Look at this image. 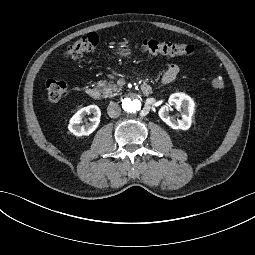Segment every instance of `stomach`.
I'll list each match as a JSON object with an SVG mask.
<instances>
[{
	"mask_svg": "<svg viewBox=\"0 0 255 255\" xmlns=\"http://www.w3.org/2000/svg\"><path fill=\"white\" fill-rule=\"evenodd\" d=\"M116 53L121 57H128L131 55V50L129 48H119Z\"/></svg>",
	"mask_w": 255,
	"mask_h": 255,
	"instance_id": "stomach-1",
	"label": "stomach"
}]
</instances>
